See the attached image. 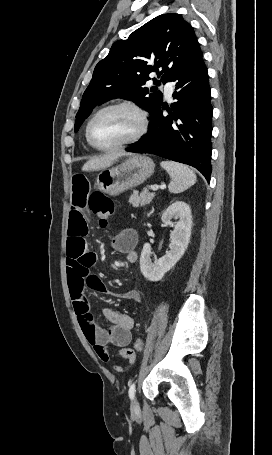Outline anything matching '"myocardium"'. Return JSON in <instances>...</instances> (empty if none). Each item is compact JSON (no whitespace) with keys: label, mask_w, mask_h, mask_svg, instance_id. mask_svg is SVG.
Returning <instances> with one entry per match:
<instances>
[{"label":"myocardium","mask_w":272,"mask_h":455,"mask_svg":"<svg viewBox=\"0 0 272 455\" xmlns=\"http://www.w3.org/2000/svg\"><path fill=\"white\" fill-rule=\"evenodd\" d=\"M115 108H128V109L132 110L137 115L138 120H139L138 130L136 131V133L133 136H131L130 138H128L116 145H113L110 147H101V146L97 145L92 138L93 123L95 122V120L98 118V116L100 114H102L105 111L115 109ZM148 126H149V119H148V114L145 111V109H143L139 104H137L134 101L118 100V101L111 102V103L101 107L93 114V116L89 120L87 127H86V138H87L89 145L92 148H94L95 150L101 151V152H112V151H117V150L126 148L128 146H131V145L139 142L144 137V135L147 133Z\"/></svg>","instance_id":"myocardium-1"}]
</instances>
